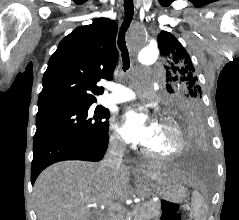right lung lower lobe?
I'll return each mask as SVG.
<instances>
[{
	"label": "right lung lower lobe",
	"instance_id": "1",
	"mask_svg": "<svg viewBox=\"0 0 239 220\" xmlns=\"http://www.w3.org/2000/svg\"><path fill=\"white\" fill-rule=\"evenodd\" d=\"M108 133L103 140L88 141L75 138L51 137L34 141L31 183L47 166L62 160L99 161L108 146Z\"/></svg>",
	"mask_w": 239,
	"mask_h": 220
}]
</instances>
